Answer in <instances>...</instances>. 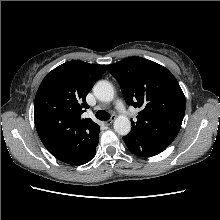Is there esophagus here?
Returning a JSON list of instances; mask_svg holds the SVG:
<instances>
[{
    "instance_id": "34e87169",
    "label": "esophagus",
    "mask_w": 220,
    "mask_h": 220,
    "mask_svg": "<svg viewBox=\"0 0 220 220\" xmlns=\"http://www.w3.org/2000/svg\"><path fill=\"white\" fill-rule=\"evenodd\" d=\"M114 120H115V117H112L111 119L105 121L104 123H105L106 126H109L114 122Z\"/></svg>"
}]
</instances>
